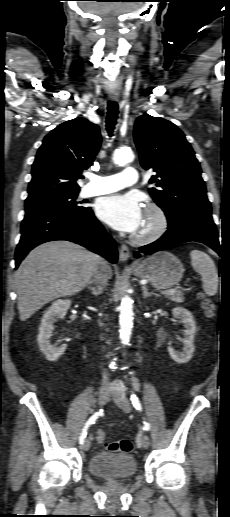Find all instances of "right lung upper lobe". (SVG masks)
I'll use <instances>...</instances> for the list:
<instances>
[{"mask_svg": "<svg viewBox=\"0 0 230 517\" xmlns=\"http://www.w3.org/2000/svg\"><path fill=\"white\" fill-rule=\"evenodd\" d=\"M101 144L96 124L75 118L60 124L43 140L32 165L26 201L79 191L76 180L94 161Z\"/></svg>", "mask_w": 230, "mask_h": 517, "instance_id": "right-lung-upper-lobe-1", "label": "right lung upper lobe"}]
</instances>
